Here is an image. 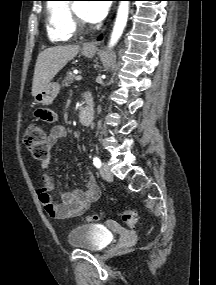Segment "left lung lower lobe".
Instances as JSON below:
<instances>
[{
	"label": "left lung lower lobe",
	"mask_w": 216,
	"mask_h": 285,
	"mask_svg": "<svg viewBox=\"0 0 216 285\" xmlns=\"http://www.w3.org/2000/svg\"><path fill=\"white\" fill-rule=\"evenodd\" d=\"M116 1H119V0H116ZM131 1H134V0H131ZM101 38H102V36L99 37V39H101Z\"/></svg>",
	"instance_id": "left-lung-lower-lobe-1"
}]
</instances>
